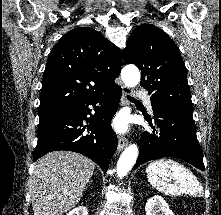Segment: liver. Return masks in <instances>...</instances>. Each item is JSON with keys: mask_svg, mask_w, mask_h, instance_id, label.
Here are the masks:
<instances>
[{"mask_svg": "<svg viewBox=\"0 0 221 215\" xmlns=\"http://www.w3.org/2000/svg\"><path fill=\"white\" fill-rule=\"evenodd\" d=\"M95 164L70 151H53L38 159L31 178L34 215H63L80 201Z\"/></svg>", "mask_w": 221, "mask_h": 215, "instance_id": "1", "label": "liver"}]
</instances>
